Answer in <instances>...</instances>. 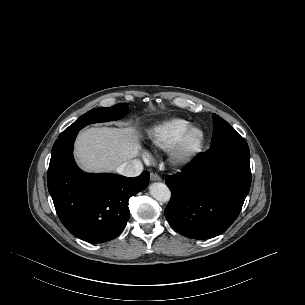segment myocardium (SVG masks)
Returning a JSON list of instances; mask_svg holds the SVG:
<instances>
[{"instance_id": "myocardium-1", "label": "myocardium", "mask_w": 305, "mask_h": 305, "mask_svg": "<svg viewBox=\"0 0 305 305\" xmlns=\"http://www.w3.org/2000/svg\"><path fill=\"white\" fill-rule=\"evenodd\" d=\"M195 133H197L198 138L193 143L191 138ZM205 142L206 134L203 128L197 125L189 126L173 147L171 153L172 161L182 166L192 163L203 151Z\"/></svg>"}]
</instances>
